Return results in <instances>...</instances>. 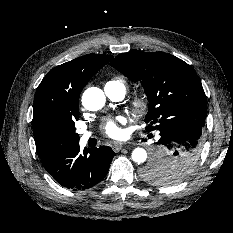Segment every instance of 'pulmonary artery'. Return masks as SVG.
Masks as SVG:
<instances>
[{
	"label": "pulmonary artery",
	"mask_w": 233,
	"mask_h": 233,
	"mask_svg": "<svg viewBox=\"0 0 233 233\" xmlns=\"http://www.w3.org/2000/svg\"><path fill=\"white\" fill-rule=\"evenodd\" d=\"M105 92L107 96L116 101L123 99L125 95V91L123 90H110L108 88H105ZM81 134V142L86 143V141L90 138L91 133L88 131H82Z\"/></svg>",
	"instance_id": "1"
}]
</instances>
